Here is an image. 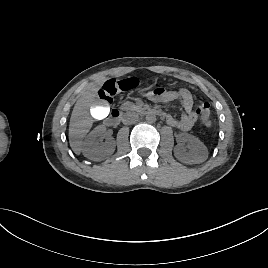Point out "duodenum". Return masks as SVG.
Returning a JSON list of instances; mask_svg holds the SVG:
<instances>
[{
	"label": "duodenum",
	"instance_id": "410a0bca",
	"mask_svg": "<svg viewBox=\"0 0 268 268\" xmlns=\"http://www.w3.org/2000/svg\"><path fill=\"white\" fill-rule=\"evenodd\" d=\"M143 111L149 113V114H153V115H157L160 117H164V113L159 111V110H155V109H143ZM122 117V113L119 109L117 108H113L111 110V114L109 116V118L107 119V123L110 125H115L118 122H120Z\"/></svg>",
	"mask_w": 268,
	"mask_h": 268
}]
</instances>
